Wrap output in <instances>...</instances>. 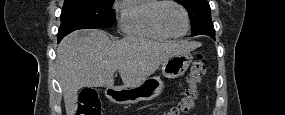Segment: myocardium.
Instances as JSON below:
<instances>
[{
    "mask_svg": "<svg viewBox=\"0 0 285 115\" xmlns=\"http://www.w3.org/2000/svg\"><path fill=\"white\" fill-rule=\"evenodd\" d=\"M176 5L178 6L184 13V16H185V20H186V29L184 32H182L181 34H173L171 33L165 26L164 24L162 23V20H161V10L162 8L165 6V5ZM155 22L157 24V26L160 28V30L162 32H164L166 35H168L170 38H180V37H183L185 36L189 29H190V16H189V12L187 11V9L179 2H176V1H171V0H167V1H160L156 7V10H155Z\"/></svg>",
    "mask_w": 285,
    "mask_h": 115,
    "instance_id": "myocardium-1",
    "label": "myocardium"
}]
</instances>
